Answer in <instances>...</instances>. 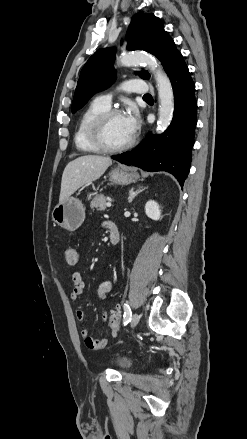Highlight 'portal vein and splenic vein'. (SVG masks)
Instances as JSON below:
<instances>
[{"label": "portal vein and splenic vein", "instance_id": "18ae733b", "mask_svg": "<svg viewBox=\"0 0 247 439\" xmlns=\"http://www.w3.org/2000/svg\"><path fill=\"white\" fill-rule=\"evenodd\" d=\"M106 206H107V207H111V206H112L111 202H107V203H106Z\"/></svg>", "mask_w": 247, "mask_h": 439}]
</instances>
